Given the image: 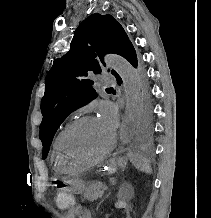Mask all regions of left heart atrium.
Masks as SVG:
<instances>
[{"instance_id": "obj_1", "label": "left heart atrium", "mask_w": 211, "mask_h": 218, "mask_svg": "<svg viewBox=\"0 0 211 218\" xmlns=\"http://www.w3.org/2000/svg\"><path fill=\"white\" fill-rule=\"evenodd\" d=\"M98 119L107 129L114 132L118 117L116 109L111 104L104 102L100 105Z\"/></svg>"}]
</instances>
